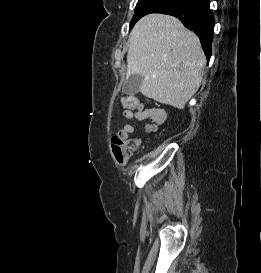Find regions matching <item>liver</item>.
Returning a JSON list of instances; mask_svg holds the SVG:
<instances>
[{
	"mask_svg": "<svg viewBox=\"0 0 261 273\" xmlns=\"http://www.w3.org/2000/svg\"><path fill=\"white\" fill-rule=\"evenodd\" d=\"M205 65L199 38L175 17L148 14L130 33L126 78L141 75L147 98L183 109L200 87Z\"/></svg>",
	"mask_w": 261,
	"mask_h": 273,
	"instance_id": "obj_1",
	"label": "liver"
}]
</instances>
